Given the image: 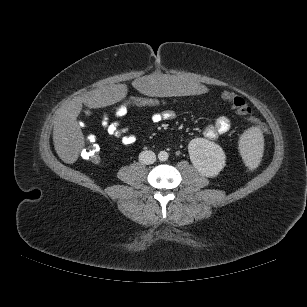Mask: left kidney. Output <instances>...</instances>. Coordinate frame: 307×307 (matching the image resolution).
I'll use <instances>...</instances> for the list:
<instances>
[{
	"mask_svg": "<svg viewBox=\"0 0 307 307\" xmlns=\"http://www.w3.org/2000/svg\"><path fill=\"white\" fill-rule=\"evenodd\" d=\"M188 152L193 166L207 177H215L225 166L226 156L216 143L205 138L192 139Z\"/></svg>",
	"mask_w": 307,
	"mask_h": 307,
	"instance_id": "obj_1",
	"label": "left kidney"
}]
</instances>
